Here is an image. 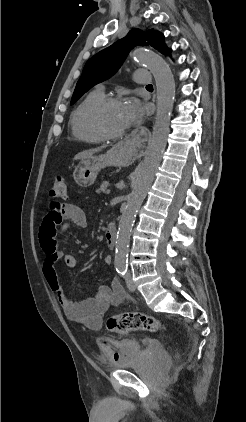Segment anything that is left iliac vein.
<instances>
[{
    "label": "left iliac vein",
    "mask_w": 246,
    "mask_h": 422,
    "mask_svg": "<svg viewBox=\"0 0 246 422\" xmlns=\"http://www.w3.org/2000/svg\"><path fill=\"white\" fill-rule=\"evenodd\" d=\"M126 284H127V288H128L130 291L134 292V291L136 290V285H135V283L133 282V280H132V278H131V275H127V277H126Z\"/></svg>",
    "instance_id": "obj_1"
}]
</instances>
